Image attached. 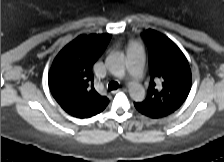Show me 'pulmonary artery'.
Instances as JSON below:
<instances>
[{"instance_id": "e3ab8cb5", "label": "pulmonary artery", "mask_w": 224, "mask_h": 162, "mask_svg": "<svg viewBox=\"0 0 224 162\" xmlns=\"http://www.w3.org/2000/svg\"><path fill=\"white\" fill-rule=\"evenodd\" d=\"M127 72L133 77H140L143 73V63L140 51V46L131 44L127 51Z\"/></svg>"}]
</instances>
